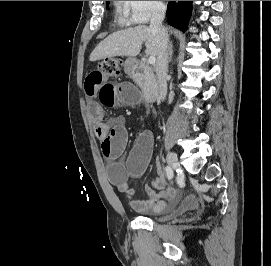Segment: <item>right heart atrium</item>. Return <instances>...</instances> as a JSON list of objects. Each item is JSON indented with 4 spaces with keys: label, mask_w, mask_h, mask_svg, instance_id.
<instances>
[{
    "label": "right heart atrium",
    "mask_w": 271,
    "mask_h": 266,
    "mask_svg": "<svg viewBox=\"0 0 271 266\" xmlns=\"http://www.w3.org/2000/svg\"><path fill=\"white\" fill-rule=\"evenodd\" d=\"M127 20L131 24H145L161 14L165 8L163 1H122Z\"/></svg>",
    "instance_id": "1"
}]
</instances>
